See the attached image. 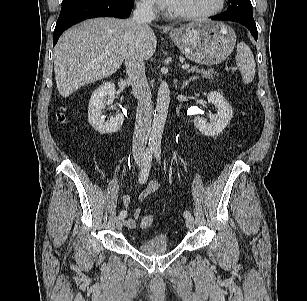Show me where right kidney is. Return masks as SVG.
Returning <instances> with one entry per match:
<instances>
[{
	"instance_id": "1",
	"label": "right kidney",
	"mask_w": 307,
	"mask_h": 301,
	"mask_svg": "<svg viewBox=\"0 0 307 301\" xmlns=\"http://www.w3.org/2000/svg\"><path fill=\"white\" fill-rule=\"evenodd\" d=\"M115 94V85L111 81L101 84L92 93L88 106V121L99 133H115L123 124L124 116L121 113H118L116 117L111 118L108 122H105L104 117L101 115L104 107L113 103Z\"/></svg>"
}]
</instances>
